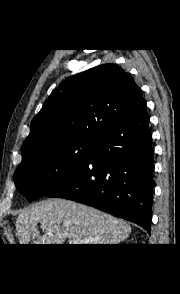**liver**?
Returning <instances> with one entry per match:
<instances>
[{"mask_svg": "<svg viewBox=\"0 0 180 294\" xmlns=\"http://www.w3.org/2000/svg\"><path fill=\"white\" fill-rule=\"evenodd\" d=\"M38 223L45 226L43 235ZM15 226L20 244H63L67 238H78L82 244H118L131 233L127 222L65 199L47 200L23 210Z\"/></svg>", "mask_w": 180, "mask_h": 294, "instance_id": "liver-1", "label": "liver"}]
</instances>
